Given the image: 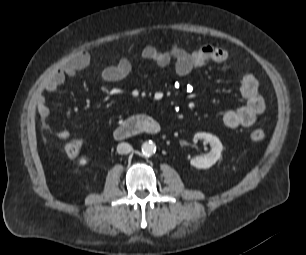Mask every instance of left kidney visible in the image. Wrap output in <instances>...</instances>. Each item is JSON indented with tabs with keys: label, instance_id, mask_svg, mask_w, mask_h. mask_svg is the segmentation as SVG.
<instances>
[{
	"label": "left kidney",
	"instance_id": "obj_1",
	"mask_svg": "<svg viewBox=\"0 0 306 255\" xmlns=\"http://www.w3.org/2000/svg\"><path fill=\"white\" fill-rule=\"evenodd\" d=\"M198 140H204L206 143H209L211 150L205 155L195 156L191 159L190 164L198 169H208L221 157L222 143L218 137L205 132H199L194 135V142Z\"/></svg>",
	"mask_w": 306,
	"mask_h": 255
}]
</instances>
